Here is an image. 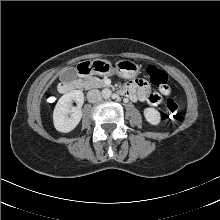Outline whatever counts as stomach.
Returning a JSON list of instances; mask_svg holds the SVG:
<instances>
[{
    "label": "stomach",
    "instance_id": "1",
    "mask_svg": "<svg viewBox=\"0 0 220 220\" xmlns=\"http://www.w3.org/2000/svg\"><path fill=\"white\" fill-rule=\"evenodd\" d=\"M89 73L92 75H112L117 73L120 77L129 79L136 77L140 72V67L127 59L116 62L115 67L107 60L96 59L88 64Z\"/></svg>",
    "mask_w": 220,
    "mask_h": 220
}]
</instances>
